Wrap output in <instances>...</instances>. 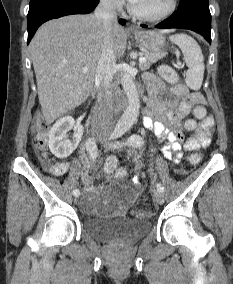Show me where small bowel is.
<instances>
[{
	"label": "small bowel",
	"mask_w": 233,
	"mask_h": 284,
	"mask_svg": "<svg viewBox=\"0 0 233 284\" xmlns=\"http://www.w3.org/2000/svg\"><path fill=\"white\" fill-rule=\"evenodd\" d=\"M147 84L153 100L147 107L144 117V126L153 131L158 137L165 139L162 155L167 160L180 162L182 150L193 152L207 147L211 142V128L213 119L206 117L193 130V135L184 136L182 120L190 113L193 107L205 104L203 95L196 91H189L184 85H176L170 90L165 84L153 75L147 76ZM165 98H159L165 96ZM68 162L52 161L48 163L49 171L55 176L64 175L69 169ZM83 184L86 192L93 191L87 173L83 174ZM86 211L94 209V203L89 196L83 201Z\"/></svg>",
	"instance_id": "c3829d8e"
}]
</instances>
